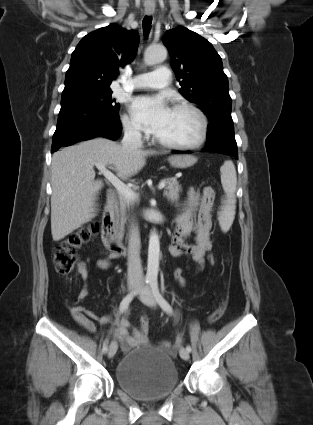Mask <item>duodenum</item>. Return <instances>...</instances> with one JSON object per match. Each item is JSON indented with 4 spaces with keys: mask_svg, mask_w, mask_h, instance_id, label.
Instances as JSON below:
<instances>
[{
    "mask_svg": "<svg viewBox=\"0 0 313 425\" xmlns=\"http://www.w3.org/2000/svg\"><path fill=\"white\" fill-rule=\"evenodd\" d=\"M101 234L106 248L118 255L127 253L126 247L115 228V192L110 189L106 194V202L101 220Z\"/></svg>",
    "mask_w": 313,
    "mask_h": 425,
    "instance_id": "1",
    "label": "duodenum"
}]
</instances>
